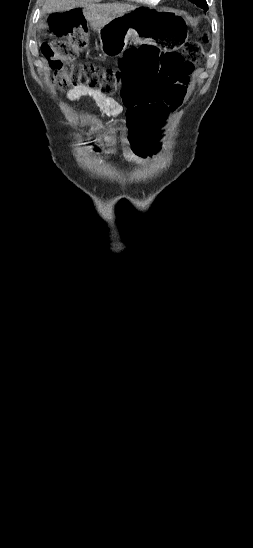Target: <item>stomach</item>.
Returning <instances> with one entry per match:
<instances>
[{"instance_id":"stomach-1","label":"stomach","mask_w":253,"mask_h":548,"mask_svg":"<svg viewBox=\"0 0 253 548\" xmlns=\"http://www.w3.org/2000/svg\"><path fill=\"white\" fill-rule=\"evenodd\" d=\"M97 31L100 49L106 56L121 55L129 41L178 47L187 35L186 20L180 14L145 8L120 15Z\"/></svg>"}]
</instances>
